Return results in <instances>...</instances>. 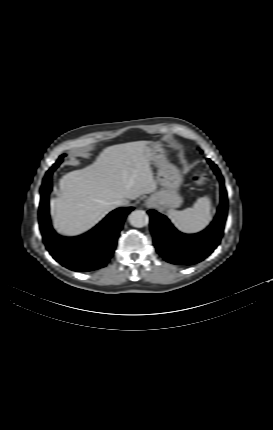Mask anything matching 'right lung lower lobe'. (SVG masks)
<instances>
[{"label":"right lung lower lobe","mask_w":273,"mask_h":430,"mask_svg":"<svg viewBox=\"0 0 273 430\" xmlns=\"http://www.w3.org/2000/svg\"><path fill=\"white\" fill-rule=\"evenodd\" d=\"M47 173L41 187L39 224L44 243L52 257L64 267L88 272L107 265L116 248L117 239L127 214L133 207L112 211L89 232L74 238L62 237L50 225L48 195L51 191V175Z\"/></svg>","instance_id":"right-lung-lower-lobe-1"}]
</instances>
